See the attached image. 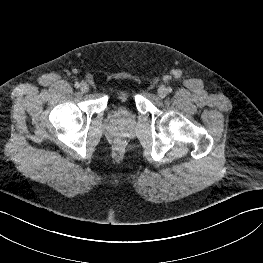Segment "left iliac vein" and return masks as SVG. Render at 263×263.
<instances>
[{"label": "left iliac vein", "mask_w": 263, "mask_h": 263, "mask_svg": "<svg viewBox=\"0 0 263 263\" xmlns=\"http://www.w3.org/2000/svg\"><path fill=\"white\" fill-rule=\"evenodd\" d=\"M158 95L164 98L167 95V89L164 86H160L158 89Z\"/></svg>", "instance_id": "left-iliac-vein-1"}]
</instances>
